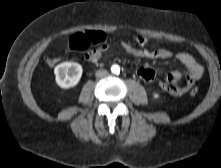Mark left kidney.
<instances>
[{
	"label": "left kidney",
	"instance_id": "5707ae66",
	"mask_svg": "<svg viewBox=\"0 0 221 168\" xmlns=\"http://www.w3.org/2000/svg\"><path fill=\"white\" fill-rule=\"evenodd\" d=\"M153 97H154L155 99H158V98H159V94L154 93V94H153Z\"/></svg>",
	"mask_w": 221,
	"mask_h": 168
}]
</instances>
